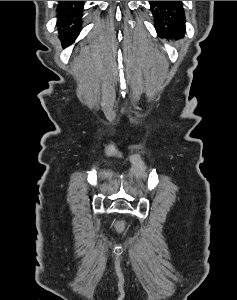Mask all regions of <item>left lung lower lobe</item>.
Returning <instances> with one entry per match:
<instances>
[{"label":"left lung lower lobe","instance_id":"left-lung-lower-lobe-1","mask_svg":"<svg viewBox=\"0 0 237 300\" xmlns=\"http://www.w3.org/2000/svg\"><path fill=\"white\" fill-rule=\"evenodd\" d=\"M153 4H155V2L154 1H150V5H153ZM185 31V28H184V30H182V31H180L181 33H183ZM163 36V35H162ZM166 36V35H165Z\"/></svg>","mask_w":237,"mask_h":300}]
</instances>
